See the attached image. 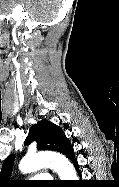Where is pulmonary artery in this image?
Segmentation results:
<instances>
[{
  "instance_id": "1",
  "label": "pulmonary artery",
  "mask_w": 119,
  "mask_h": 187,
  "mask_svg": "<svg viewBox=\"0 0 119 187\" xmlns=\"http://www.w3.org/2000/svg\"><path fill=\"white\" fill-rule=\"evenodd\" d=\"M33 179L48 180V179H50V176L48 174H38V175L34 176Z\"/></svg>"
}]
</instances>
